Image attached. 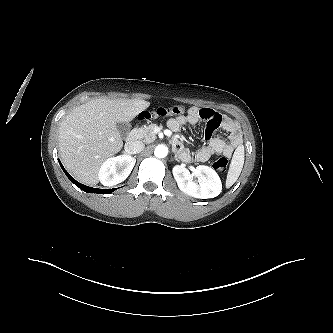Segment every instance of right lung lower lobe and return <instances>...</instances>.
<instances>
[{
  "mask_svg": "<svg viewBox=\"0 0 333 333\" xmlns=\"http://www.w3.org/2000/svg\"><path fill=\"white\" fill-rule=\"evenodd\" d=\"M63 171L65 172V174L67 175V177L70 179V181L75 184L77 187H79L81 190L87 192V193H99V194H110L111 192L114 191V189H97V188H92V187H88L86 185H83L81 183H79L78 181H76L63 167V165L61 164V162L59 161Z\"/></svg>",
  "mask_w": 333,
  "mask_h": 333,
  "instance_id": "1",
  "label": "right lung lower lobe"
}]
</instances>
